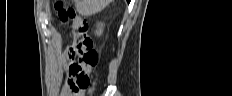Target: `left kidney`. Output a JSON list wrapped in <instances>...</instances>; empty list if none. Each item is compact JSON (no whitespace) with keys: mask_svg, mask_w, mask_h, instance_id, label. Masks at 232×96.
Here are the masks:
<instances>
[{"mask_svg":"<svg viewBox=\"0 0 232 96\" xmlns=\"http://www.w3.org/2000/svg\"><path fill=\"white\" fill-rule=\"evenodd\" d=\"M103 33V24L102 23H98L97 25V30H96V34L98 36H100Z\"/></svg>","mask_w":232,"mask_h":96,"instance_id":"1","label":"left kidney"}]
</instances>
